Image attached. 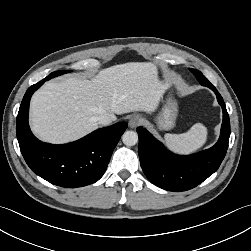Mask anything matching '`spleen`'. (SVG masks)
<instances>
[{
  "label": "spleen",
  "instance_id": "1",
  "mask_svg": "<svg viewBox=\"0 0 251 251\" xmlns=\"http://www.w3.org/2000/svg\"><path fill=\"white\" fill-rule=\"evenodd\" d=\"M208 130L202 123H196L182 134H166V146L179 154H190L199 150L207 141Z\"/></svg>",
  "mask_w": 251,
  "mask_h": 251
}]
</instances>
